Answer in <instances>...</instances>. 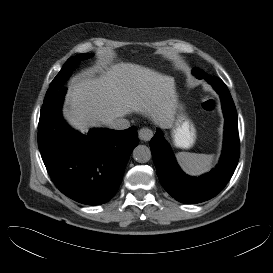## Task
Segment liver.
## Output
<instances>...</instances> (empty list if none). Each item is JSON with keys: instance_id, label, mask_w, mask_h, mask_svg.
Returning <instances> with one entry per match:
<instances>
[{"instance_id": "liver-1", "label": "liver", "mask_w": 273, "mask_h": 273, "mask_svg": "<svg viewBox=\"0 0 273 273\" xmlns=\"http://www.w3.org/2000/svg\"><path fill=\"white\" fill-rule=\"evenodd\" d=\"M175 102L173 77L121 62L100 68L99 76L89 71L73 78L64 117L82 133L133 112L168 128L174 122Z\"/></svg>"}]
</instances>
